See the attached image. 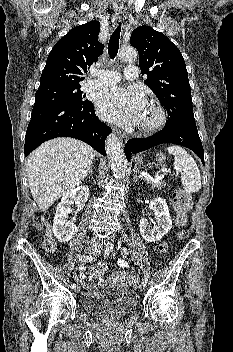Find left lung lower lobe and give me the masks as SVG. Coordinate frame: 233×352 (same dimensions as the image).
<instances>
[{"instance_id": "obj_1", "label": "left lung lower lobe", "mask_w": 233, "mask_h": 352, "mask_svg": "<svg viewBox=\"0 0 233 352\" xmlns=\"http://www.w3.org/2000/svg\"><path fill=\"white\" fill-rule=\"evenodd\" d=\"M163 143L177 144L191 149L204 165V150L196 125H169L166 123L165 127L153 136L129 139L124 152L129 161L132 154Z\"/></svg>"}]
</instances>
